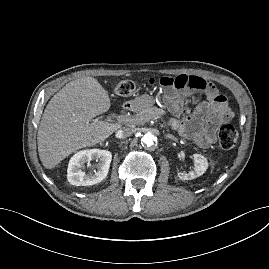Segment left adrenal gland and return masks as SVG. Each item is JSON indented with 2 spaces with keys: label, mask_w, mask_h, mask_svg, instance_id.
<instances>
[{
  "label": "left adrenal gland",
  "mask_w": 269,
  "mask_h": 269,
  "mask_svg": "<svg viewBox=\"0 0 269 269\" xmlns=\"http://www.w3.org/2000/svg\"><path fill=\"white\" fill-rule=\"evenodd\" d=\"M165 139H171L173 141H177V139L173 135H171V134H166L165 135Z\"/></svg>",
  "instance_id": "obj_1"
}]
</instances>
